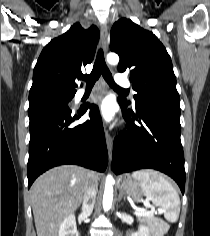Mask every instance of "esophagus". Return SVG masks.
<instances>
[{
	"instance_id": "34e87169",
	"label": "esophagus",
	"mask_w": 210,
	"mask_h": 236,
	"mask_svg": "<svg viewBox=\"0 0 210 236\" xmlns=\"http://www.w3.org/2000/svg\"><path fill=\"white\" fill-rule=\"evenodd\" d=\"M100 33H101L103 50H104V53L106 54L108 51V45H107L108 28L106 24H101ZM105 140H106L109 158L111 159L112 151H113V139L107 129L105 130Z\"/></svg>"
}]
</instances>
